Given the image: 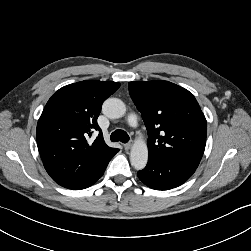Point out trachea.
I'll list each match as a JSON object with an SVG mask.
<instances>
[{"label": "trachea", "instance_id": "1", "mask_svg": "<svg viewBox=\"0 0 251 251\" xmlns=\"http://www.w3.org/2000/svg\"><path fill=\"white\" fill-rule=\"evenodd\" d=\"M110 139L112 142H122V143H127L129 141V135L124 131V130H115L112 132Z\"/></svg>", "mask_w": 251, "mask_h": 251}]
</instances>
